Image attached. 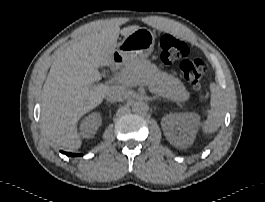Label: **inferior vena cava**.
I'll list each match as a JSON object with an SVG mask.
<instances>
[{"label": "inferior vena cava", "instance_id": "602c4592", "mask_svg": "<svg viewBox=\"0 0 265 202\" xmlns=\"http://www.w3.org/2000/svg\"><path fill=\"white\" fill-rule=\"evenodd\" d=\"M105 96L108 102H120L129 97V90L120 85H113L108 88Z\"/></svg>", "mask_w": 265, "mask_h": 202}]
</instances>
